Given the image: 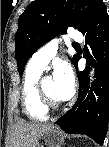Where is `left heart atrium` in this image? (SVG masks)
Listing matches in <instances>:
<instances>
[{
    "mask_svg": "<svg viewBox=\"0 0 109 147\" xmlns=\"http://www.w3.org/2000/svg\"><path fill=\"white\" fill-rule=\"evenodd\" d=\"M55 94L60 101L68 100L75 91V76L72 67L60 62L54 72Z\"/></svg>",
    "mask_w": 109,
    "mask_h": 147,
    "instance_id": "obj_1",
    "label": "left heart atrium"
}]
</instances>
